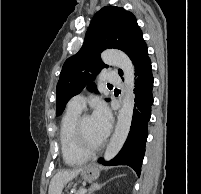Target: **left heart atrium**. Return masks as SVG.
I'll list each match as a JSON object with an SVG mask.
<instances>
[{"instance_id": "obj_1", "label": "left heart atrium", "mask_w": 201, "mask_h": 194, "mask_svg": "<svg viewBox=\"0 0 201 194\" xmlns=\"http://www.w3.org/2000/svg\"><path fill=\"white\" fill-rule=\"evenodd\" d=\"M91 119L98 136L101 140H104L108 136L111 129L112 119L110 111L104 104L98 103L95 106Z\"/></svg>"}]
</instances>
